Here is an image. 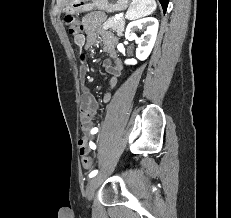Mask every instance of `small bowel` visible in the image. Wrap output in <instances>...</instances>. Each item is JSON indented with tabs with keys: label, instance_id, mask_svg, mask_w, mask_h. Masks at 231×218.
<instances>
[{
	"label": "small bowel",
	"instance_id": "obj_1",
	"mask_svg": "<svg viewBox=\"0 0 231 218\" xmlns=\"http://www.w3.org/2000/svg\"><path fill=\"white\" fill-rule=\"evenodd\" d=\"M105 15L100 11H95L87 14L83 18V28L85 35H79L74 37V43L78 47H84L89 49L93 47L97 42L101 43L102 49L106 52L110 58L104 60L103 67L111 75L110 79V90L103 96V103H109L112 98V90L115 88L118 82V78L121 75L122 65L117 57L115 51V37L107 31L100 30L98 26L104 20ZM82 65L80 67V78L82 84L81 93V127L84 132L91 135V129L94 128V118L98 113L99 103L95 97L90 92V89L86 83V72L88 70L87 63L83 62L85 60L84 56L80 57ZM91 139V138H90ZM83 138L79 141L80 153H87L89 147V140Z\"/></svg>",
	"mask_w": 231,
	"mask_h": 218
}]
</instances>
